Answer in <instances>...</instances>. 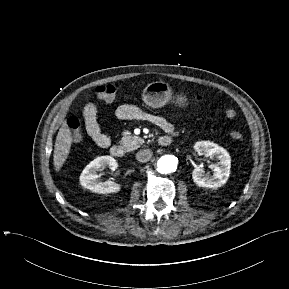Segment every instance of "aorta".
Wrapping results in <instances>:
<instances>
[{
    "instance_id": "762f6f07",
    "label": "aorta",
    "mask_w": 289,
    "mask_h": 289,
    "mask_svg": "<svg viewBox=\"0 0 289 289\" xmlns=\"http://www.w3.org/2000/svg\"><path fill=\"white\" fill-rule=\"evenodd\" d=\"M179 160L174 155H164L157 161V169L161 174H170L177 170Z\"/></svg>"
}]
</instances>
